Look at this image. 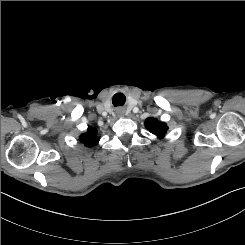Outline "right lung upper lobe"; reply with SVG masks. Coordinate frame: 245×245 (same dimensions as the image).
Instances as JSON below:
<instances>
[{"label": "right lung upper lobe", "instance_id": "cb5924a9", "mask_svg": "<svg viewBox=\"0 0 245 245\" xmlns=\"http://www.w3.org/2000/svg\"><path fill=\"white\" fill-rule=\"evenodd\" d=\"M99 140L100 137L97 136V129L92 127H89L87 133L79 137V141L86 147L97 145Z\"/></svg>", "mask_w": 245, "mask_h": 245}]
</instances>
